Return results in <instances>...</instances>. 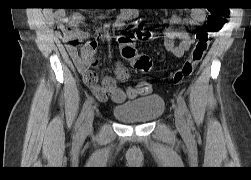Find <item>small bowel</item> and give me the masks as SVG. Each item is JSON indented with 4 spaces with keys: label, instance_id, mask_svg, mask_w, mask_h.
Returning <instances> with one entry per match:
<instances>
[{
    "label": "small bowel",
    "instance_id": "small-bowel-1",
    "mask_svg": "<svg viewBox=\"0 0 251 180\" xmlns=\"http://www.w3.org/2000/svg\"><path fill=\"white\" fill-rule=\"evenodd\" d=\"M49 15L55 24H66V26H61L66 48L81 73L83 81L99 101H106L110 97L115 103H123L126 99H135L151 93L152 87L148 82H140L135 87H119L118 81H124L128 77L122 64L116 66L115 78L105 77L100 84L96 73L92 71L98 64L95 57L97 42L95 40L88 41L82 46L81 52L78 51L79 43L88 38V34L81 29L85 17L77 12L67 13L65 10H56ZM138 16L139 11L136 8L122 9L113 22V26L120 29L126 23L137 20ZM205 16V11L202 8H194L188 19L174 15L164 34L166 50L177 58L183 57L191 47L193 40L188 31L180 29L178 26L182 24L201 25L205 21Z\"/></svg>",
    "mask_w": 251,
    "mask_h": 180
}]
</instances>
